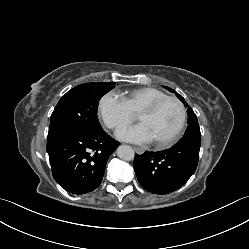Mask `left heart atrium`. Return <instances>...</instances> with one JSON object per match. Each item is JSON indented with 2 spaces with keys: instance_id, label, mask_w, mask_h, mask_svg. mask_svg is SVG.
<instances>
[{
  "instance_id": "left-heart-atrium-1",
  "label": "left heart atrium",
  "mask_w": 249,
  "mask_h": 249,
  "mask_svg": "<svg viewBox=\"0 0 249 249\" xmlns=\"http://www.w3.org/2000/svg\"><path fill=\"white\" fill-rule=\"evenodd\" d=\"M117 136L122 140L138 144L152 141L151 134L147 130L146 126L142 123L120 130L117 133Z\"/></svg>"
}]
</instances>
